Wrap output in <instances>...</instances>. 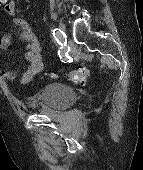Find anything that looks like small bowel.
<instances>
[{
  "instance_id": "c3829d8e",
  "label": "small bowel",
  "mask_w": 143,
  "mask_h": 170,
  "mask_svg": "<svg viewBox=\"0 0 143 170\" xmlns=\"http://www.w3.org/2000/svg\"><path fill=\"white\" fill-rule=\"evenodd\" d=\"M0 5L3 6V11L7 15L13 16L15 14L16 4L13 0H5ZM13 23L15 32L8 33L0 39V51H5L10 47L15 33L18 34L20 39L25 41L26 46L24 50V57L29 62V66L23 73L21 82L23 84H27L44 68V63L41 57V46L26 20L22 18H15ZM0 74L8 81H13L16 77L15 72L12 70L0 69Z\"/></svg>"
}]
</instances>
